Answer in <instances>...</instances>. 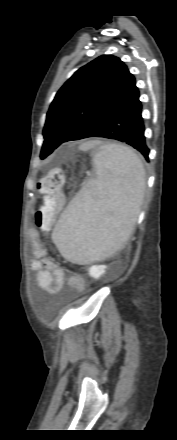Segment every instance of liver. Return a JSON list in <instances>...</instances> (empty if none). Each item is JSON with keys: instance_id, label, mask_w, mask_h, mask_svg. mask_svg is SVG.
<instances>
[{"instance_id": "obj_1", "label": "liver", "mask_w": 177, "mask_h": 440, "mask_svg": "<svg viewBox=\"0 0 177 440\" xmlns=\"http://www.w3.org/2000/svg\"><path fill=\"white\" fill-rule=\"evenodd\" d=\"M89 146H90L89 144L82 145V146H81V149H88Z\"/></svg>"}]
</instances>
